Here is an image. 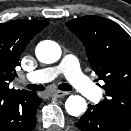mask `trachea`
Here are the masks:
<instances>
[{
    "label": "trachea",
    "instance_id": "trachea-1",
    "mask_svg": "<svg viewBox=\"0 0 131 131\" xmlns=\"http://www.w3.org/2000/svg\"><path fill=\"white\" fill-rule=\"evenodd\" d=\"M27 88L33 91H43L45 89L44 86L37 84H28ZM58 89L62 91H71L73 88L71 85L63 83L58 85Z\"/></svg>",
    "mask_w": 131,
    "mask_h": 131
}]
</instances>
